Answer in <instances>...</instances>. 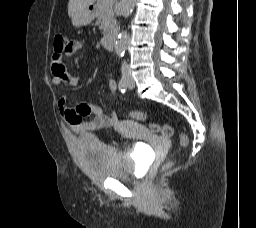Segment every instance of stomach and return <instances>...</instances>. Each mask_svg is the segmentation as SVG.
<instances>
[{"instance_id":"0dacf381","label":"stomach","mask_w":256,"mask_h":228,"mask_svg":"<svg viewBox=\"0 0 256 228\" xmlns=\"http://www.w3.org/2000/svg\"><path fill=\"white\" fill-rule=\"evenodd\" d=\"M94 17L95 13L93 8L91 6H87L76 11L71 19L72 24L75 27H81L90 24Z\"/></svg>"}]
</instances>
